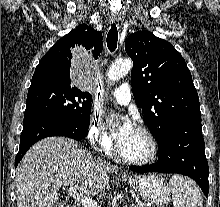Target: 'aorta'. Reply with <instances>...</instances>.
I'll use <instances>...</instances> for the list:
<instances>
[{"label": "aorta", "mask_w": 220, "mask_h": 207, "mask_svg": "<svg viewBox=\"0 0 220 207\" xmlns=\"http://www.w3.org/2000/svg\"><path fill=\"white\" fill-rule=\"evenodd\" d=\"M132 69V61L129 59L114 62L108 71V81L115 82L126 76Z\"/></svg>", "instance_id": "aorta-1"}]
</instances>
